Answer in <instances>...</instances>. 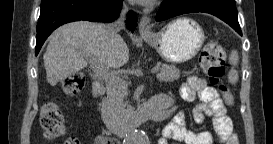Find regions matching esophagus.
Segmentation results:
<instances>
[{
    "label": "esophagus",
    "mask_w": 273,
    "mask_h": 144,
    "mask_svg": "<svg viewBox=\"0 0 273 144\" xmlns=\"http://www.w3.org/2000/svg\"><path fill=\"white\" fill-rule=\"evenodd\" d=\"M150 18L148 16H142L139 23V33L140 35H149L150 34Z\"/></svg>",
    "instance_id": "1"
}]
</instances>
